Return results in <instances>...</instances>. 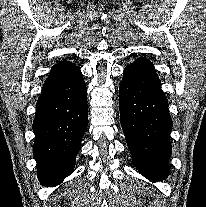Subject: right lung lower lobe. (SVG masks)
Returning <instances> with one entry per match:
<instances>
[{
    "mask_svg": "<svg viewBox=\"0 0 206 207\" xmlns=\"http://www.w3.org/2000/svg\"><path fill=\"white\" fill-rule=\"evenodd\" d=\"M87 121V89L80 68L61 61L43 85L32 126L33 155L42 185H58L73 171Z\"/></svg>",
    "mask_w": 206,
    "mask_h": 207,
    "instance_id": "98d812e1",
    "label": "right lung lower lobe"
}]
</instances>
